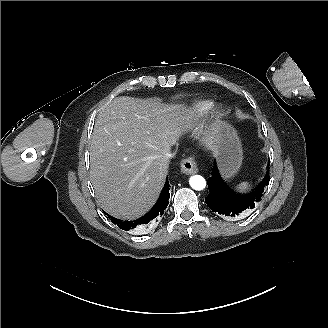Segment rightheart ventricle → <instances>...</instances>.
Returning a JSON list of instances; mask_svg holds the SVG:
<instances>
[{"instance_id": "right-heart-ventricle-1", "label": "right heart ventricle", "mask_w": 328, "mask_h": 328, "mask_svg": "<svg viewBox=\"0 0 328 328\" xmlns=\"http://www.w3.org/2000/svg\"><path fill=\"white\" fill-rule=\"evenodd\" d=\"M215 106L216 102L212 99L186 101L178 111L181 124L179 138L196 133L203 126L205 119Z\"/></svg>"}]
</instances>
